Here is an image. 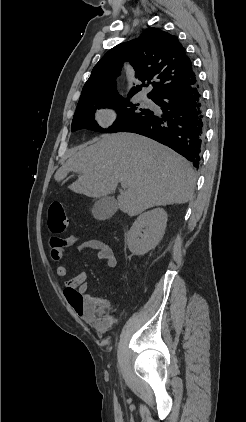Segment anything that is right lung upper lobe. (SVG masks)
Masks as SVG:
<instances>
[{
  "label": "right lung upper lobe",
  "mask_w": 246,
  "mask_h": 422,
  "mask_svg": "<svg viewBox=\"0 0 246 422\" xmlns=\"http://www.w3.org/2000/svg\"><path fill=\"white\" fill-rule=\"evenodd\" d=\"M125 61L133 66L137 80L142 83L133 87L128 96L152 84L154 88L147 96L153 100L176 87L197 82L193 65L178 38L149 28L139 38L113 47L102 57L85 83L77 107L119 97L115 79Z\"/></svg>",
  "instance_id": "1"
}]
</instances>
